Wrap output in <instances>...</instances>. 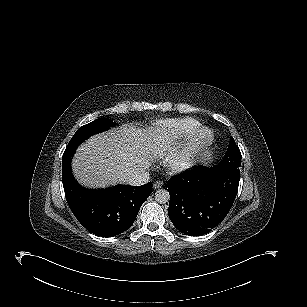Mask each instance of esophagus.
<instances>
[{"mask_svg":"<svg viewBox=\"0 0 307 307\" xmlns=\"http://www.w3.org/2000/svg\"><path fill=\"white\" fill-rule=\"evenodd\" d=\"M163 185V181H156L153 185L154 189H159Z\"/></svg>","mask_w":307,"mask_h":307,"instance_id":"34e87169","label":"esophagus"}]
</instances>
